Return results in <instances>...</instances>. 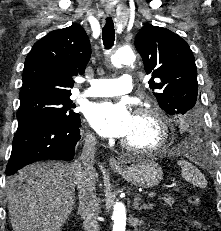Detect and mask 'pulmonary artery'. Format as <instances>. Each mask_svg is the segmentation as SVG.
Wrapping results in <instances>:
<instances>
[{
    "instance_id": "1",
    "label": "pulmonary artery",
    "mask_w": 221,
    "mask_h": 231,
    "mask_svg": "<svg viewBox=\"0 0 221 231\" xmlns=\"http://www.w3.org/2000/svg\"><path fill=\"white\" fill-rule=\"evenodd\" d=\"M89 89L82 92L85 97H109L128 93L133 88V78L123 74L118 79H96L90 82Z\"/></svg>"
}]
</instances>
